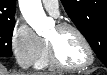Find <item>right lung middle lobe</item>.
<instances>
[{"mask_svg": "<svg viewBox=\"0 0 107 75\" xmlns=\"http://www.w3.org/2000/svg\"><path fill=\"white\" fill-rule=\"evenodd\" d=\"M14 25H15V20L0 22V56L1 57L12 56L11 40H12Z\"/></svg>", "mask_w": 107, "mask_h": 75, "instance_id": "obj_1", "label": "right lung middle lobe"}]
</instances>
